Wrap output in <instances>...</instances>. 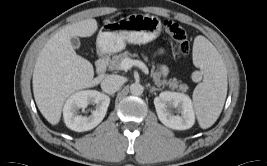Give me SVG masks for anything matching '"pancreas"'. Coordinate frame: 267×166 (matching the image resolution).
Here are the masks:
<instances>
[{
  "instance_id": "obj_1",
  "label": "pancreas",
  "mask_w": 267,
  "mask_h": 166,
  "mask_svg": "<svg viewBox=\"0 0 267 166\" xmlns=\"http://www.w3.org/2000/svg\"><path fill=\"white\" fill-rule=\"evenodd\" d=\"M130 56H136V54H131L128 51H124L123 53H120L118 55H114L110 61V69L113 70H120L121 69V62L125 59V58H129ZM145 60L147 61V57H145ZM152 77H153V81L155 83L156 86L160 87V86H169V88H171L172 90L178 89L182 92H186L189 87L184 84L181 83L180 81H177L176 79H170L169 81L167 80H161L160 76L158 75L157 72L154 71L155 66L152 65Z\"/></svg>"
}]
</instances>
